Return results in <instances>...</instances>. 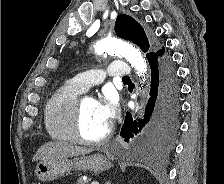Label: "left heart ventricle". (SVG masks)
I'll use <instances>...</instances> for the list:
<instances>
[{
	"label": "left heart ventricle",
	"instance_id": "b2bd125f",
	"mask_svg": "<svg viewBox=\"0 0 224 184\" xmlns=\"http://www.w3.org/2000/svg\"><path fill=\"white\" fill-rule=\"evenodd\" d=\"M110 124L106 123L97 111V103L91 98L83 99L81 130L84 137L97 139L102 137Z\"/></svg>",
	"mask_w": 224,
	"mask_h": 184
}]
</instances>
